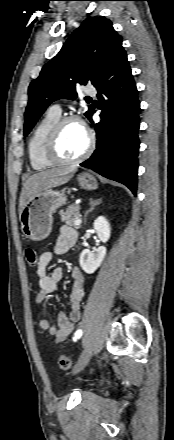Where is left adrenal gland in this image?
<instances>
[{
	"mask_svg": "<svg viewBox=\"0 0 174 440\" xmlns=\"http://www.w3.org/2000/svg\"><path fill=\"white\" fill-rule=\"evenodd\" d=\"M101 201H102V199H97V200H93V198L90 199V205H91V207H90V209H89L88 211H86V213H85L84 223H86L88 213L92 212V211L95 209V207L101 203Z\"/></svg>",
	"mask_w": 174,
	"mask_h": 440,
	"instance_id": "a2214340",
	"label": "left adrenal gland"
}]
</instances>
